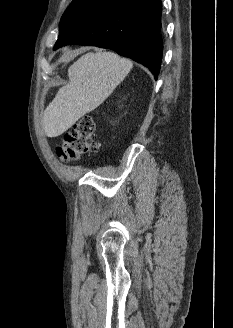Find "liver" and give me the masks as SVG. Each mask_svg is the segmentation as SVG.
Returning a JSON list of instances; mask_svg holds the SVG:
<instances>
[{"mask_svg": "<svg viewBox=\"0 0 233 328\" xmlns=\"http://www.w3.org/2000/svg\"><path fill=\"white\" fill-rule=\"evenodd\" d=\"M133 64L112 52H90L68 69L69 82L60 88L44 111L47 137H57L82 116L96 109L124 80Z\"/></svg>", "mask_w": 233, "mask_h": 328, "instance_id": "obj_1", "label": "liver"}]
</instances>
